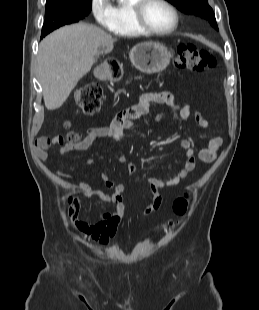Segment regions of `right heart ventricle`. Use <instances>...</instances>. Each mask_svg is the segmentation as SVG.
<instances>
[{
	"instance_id": "right-heart-ventricle-1",
	"label": "right heart ventricle",
	"mask_w": 259,
	"mask_h": 310,
	"mask_svg": "<svg viewBox=\"0 0 259 310\" xmlns=\"http://www.w3.org/2000/svg\"><path fill=\"white\" fill-rule=\"evenodd\" d=\"M137 0H118L112 6V20L108 29L114 34L132 37L143 34L132 18V6Z\"/></svg>"
}]
</instances>
